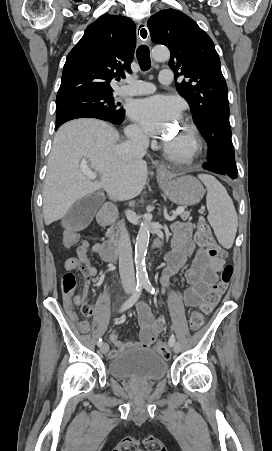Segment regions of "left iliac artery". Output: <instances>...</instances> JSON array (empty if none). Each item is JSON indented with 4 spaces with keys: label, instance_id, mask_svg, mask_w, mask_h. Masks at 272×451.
<instances>
[{
    "label": "left iliac artery",
    "instance_id": "left-iliac-artery-1",
    "mask_svg": "<svg viewBox=\"0 0 272 451\" xmlns=\"http://www.w3.org/2000/svg\"><path fill=\"white\" fill-rule=\"evenodd\" d=\"M144 288L150 294H155V288L153 287V285L151 284V282L149 280L144 281ZM168 343H169V346H173L175 344L174 335L170 336Z\"/></svg>",
    "mask_w": 272,
    "mask_h": 451
}]
</instances>
